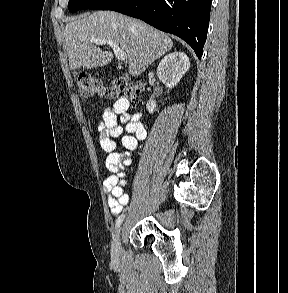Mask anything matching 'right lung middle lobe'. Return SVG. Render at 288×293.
<instances>
[{
  "mask_svg": "<svg viewBox=\"0 0 288 293\" xmlns=\"http://www.w3.org/2000/svg\"><path fill=\"white\" fill-rule=\"evenodd\" d=\"M123 0H69L68 9L76 12L82 9L109 10Z\"/></svg>",
  "mask_w": 288,
  "mask_h": 293,
  "instance_id": "right-lung-middle-lobe-1",
  "label": "right lung middle lobe"
}]
</instances>
